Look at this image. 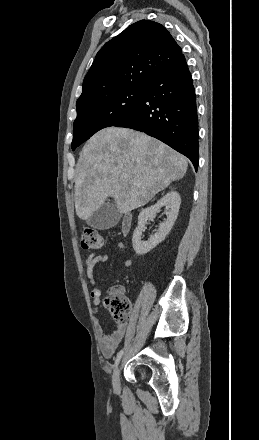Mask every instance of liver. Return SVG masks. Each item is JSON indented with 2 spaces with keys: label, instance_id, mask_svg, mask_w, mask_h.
I'll use <instances>...</instances> for the list:
<instances>
[{
  "label": "liver",
  "instance_id": "liver-1",
  "mask_svg": "<svg viewBox=\"0 0 259 440\" xmlns=\"http://www.w3.org/2000/svg\"><path fill=\"white\" fill-rule=\"evenodd\" d=\"M187 167L184 156L145 133L102 129L87 141L77 163L76 214L87 220L109 197L120 213H128L183 178Z\"/></svg>",
  "mask_w": 259,
  "mask_h": 440
}]
</instances>
